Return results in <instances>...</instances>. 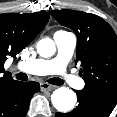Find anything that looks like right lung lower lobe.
Returning <instances> with one entry per match:
<instances>
[{"label":"right lung lower lobe","instance_id":"obj_1","mask_svg":"<svg viewBox=\"0 0 117 117\" xmlns=\"http://www.w3.org/2000/svg\"><path fill=\"white\" fill-rule=\"evenodd\" d=\"M40 91L37 82L15 81L0 91V117H25L32 96Z\"/></svg>","mask_w":117,"mask_h":117}]
</instances>
